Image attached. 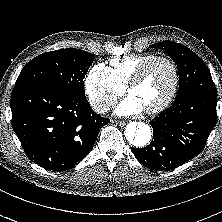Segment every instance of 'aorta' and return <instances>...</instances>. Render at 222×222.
Here are the masks:
<instances>
[{
  "instance_id": "762f6f07",
  "label": "aorta",
  "mask_w": 222,
  "mask_h": 222,
  "mask_svg": "<svg viewBox=\"0 0 222 222\" xmlns=\"http://www.w3.org/2000/svg\"><path fill=\"white\" fill-rule=\"evenodd\" d=\"M126 142L136 148H143L149 144L152 131L148 124L143 122H131L124 131Z\"/></svg>"
}]
</instances>
